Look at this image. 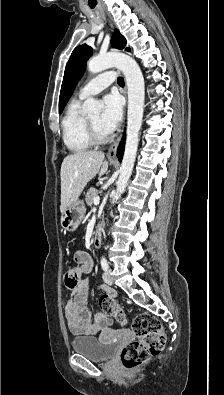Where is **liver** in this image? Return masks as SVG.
<instances>
[{
  "label": "liver",
  "instance_id": "obj_1",
  "mask_svg": "<svg viewBox=\"0 0 224 395\" xmlns=\"http://www.w3.org/2000/svg\"><path fill=\"white\" fill-rule=\"evenodd\" d=\"M108 170V162L101 151H77L67 155L61 165V205L63 213L78 200L87 183L97 174Z\"/></svg>",
  "mask_w": 224,
  "mask_h": 395
}]
</instances>
